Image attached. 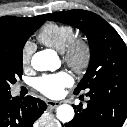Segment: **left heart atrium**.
Segmentation results:
<instances>
[{"label": "left heart atrium", "mask_w": 127, "mask_h": 127, "mask_svg": "<svg viewBox=\"0 0 127 127\" xmlns=\"http://www.w3.org/2000/svg\"><path fill=\"white\" fill-rule=\"evenodd\" d=\"M73 83L72 76L67 72L47 74L35 81V88L50 98H58L63 95L64 89Z\"/></svg>", "instance_id": "1"}]
</instances>
